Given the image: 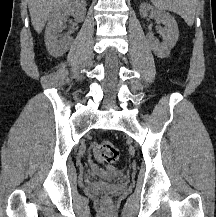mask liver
<instances>
[{"label": "liver", "instance_id": "1", "mask_svg": "<svg viewBox=\"0 0 216 217\" xmlns=\"http://www.w3.org/2000/svg\"><path fill=\"white\" fill-rule=\"evenodd\" d=\"M68 1L69 0H28L31 22L35 31L40 33L51 13Z\"/></svg>", "mask_w": 216, "mask_h": 217}]
</instances>
